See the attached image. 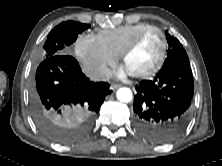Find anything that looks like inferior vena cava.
<instances>
[{
    "label": "inferior vena cava",
    "instance_id": "602c4592",
    "mask_svg": "<svg viewBox=\"0 0 222 166\" xmlns=\"http://www.w3.org/2000/svg\"><path fill=\"white\" fill-rule=\"evenodd\" d=\"M85 74L94 81H106L111 77V71L107 67L86 69Z\"/></svg>",
    "mask_w": 222,
    "mask_h": 166
}]
</instances>
